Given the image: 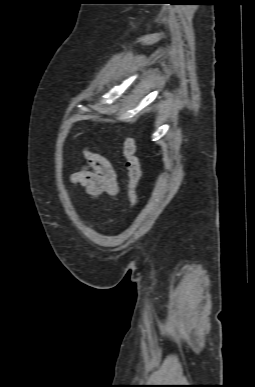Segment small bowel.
Instances as JSON below:
<instances>
[{
	"label": "small bowel",
	"instance_id": "small-bowel-1",
	"mask_svg": "<svg viewBox=\"0 0 255 387\" xmlns=\"http://www.w3.org/2000/svg\"><path fill=\"white\" fill-rule=\"evenodd\" d=\"M87 166L73 174L72 180L85 188L91 197H97L106 193L116 197L119 191L118 175L112 162L89 150L84 151Z\"/></svg>",
	"mask_w": 255,
	"mask_h": 387
}]
</instances>
